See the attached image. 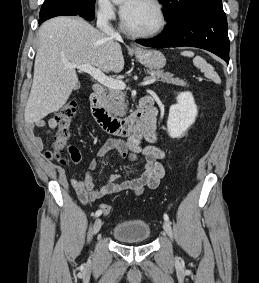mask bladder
Wrapping results in <instances>:
<instances>
[{"instance_id":"31cf9c89","label":"bladder","mask_w":259,"mask_h":283,"mask_svg":"<svg viewBox=\"0 0 259 283\" xmlns=\"http://www.w3.org/2000/svg\"><path fill=\"white\" fill-rule=\"evenodd\" d=\"M112 236L119 241H146L151 236L150 225L142 220L119 222L112 229Z\"/></svg>"}]
</instances>
